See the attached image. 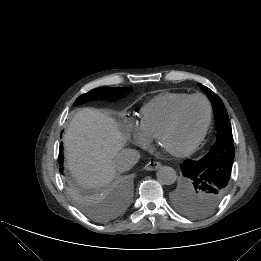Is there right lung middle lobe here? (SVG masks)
<instances>
[{"label":"right lung middle lobe","mask_w":261,"mask_h":261,"mask_svg":"<svg viewBox=\"0 0 261 261\" xmlns=\"http://www.w3.org/2000/svg\"><path fill=\"white\" fill-rule=\"evenodd\" d=\"M132 88H110V87H101L96 88L91 91H89L86 94H83L79 98L76 99L75 104L90 101L93 99H107L109 101H115L126 94H128ZM60 172H63V168L61 167ZM71 195L78 204V206L88 215L93 217H98L97 212L87 204L86 200L80 196V194L74 190L73 188H70Z\"/></svg>","instance_id":"right-lung-middle-lobe-1"}]
</instances>
